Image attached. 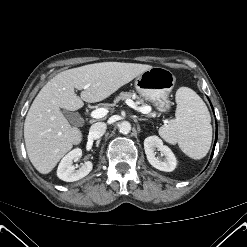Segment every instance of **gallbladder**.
Instances as JSON below:
<instances>
[{
    "label": "gallbladder",
    "mask_w": 247,
    "mask_h": 247,
    "mask_svg": "<svg viewBox=\"0 0 247 247\" xmlns=\"http://www.w3.org/2000/svg\"><path fill=\"white\" fill-rule=\"evenodd\" d=\"M65 117L67 118V120L73 124V125H80L82 122V119L80 117V115L76 112H64Z\"/></svg>",
    "instance_id": "obj_1"
}]
</instances>
